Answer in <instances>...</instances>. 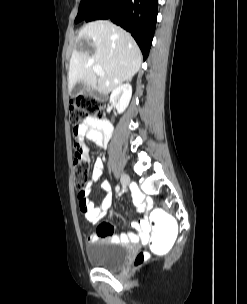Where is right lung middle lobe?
<instances>
[{
	"instance_id": "1",
	"label": "right lung middle lobe",
	"mask_w": 247,
	"mask_h": 304,
	"mask_svg": "<svg viewBox=\"0 0 247 304\" xmlns=\"http://www.w3.org/2000/svg\"><path fill=\"white\" fill-rule=\"evenodd\" d=\"M104 0H81L75 23L85 20L93 14Z\"/></svg>"
}]
</instances>
